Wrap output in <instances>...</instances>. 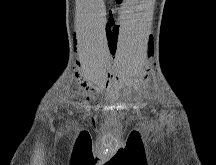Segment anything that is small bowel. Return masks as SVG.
I'll return each mask as SVG.
<instances>
[{
	"label": "small bowel",
	"instance_id": "c3829d8e",
	"mask_svg": "<svg viewBox=\"0 0 216 165\" xmlns=\"http://www.w3.org/2000/svg\"><path fill=\"white\" fill-rule=\"evenodd\" d=\"M105 36L108 47L115 50L120 39V27L115 23L113 18H109L106 23Z\"/></svg>",
	"mask_w": 216,
	"mask_h": 165
}]
</instances>
